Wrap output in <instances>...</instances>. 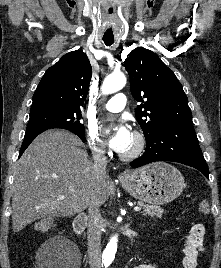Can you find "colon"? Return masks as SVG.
Masks as SVG:
<instances>
[{
  "label": "colon",
  "instance_id": "colon-1",
  "mask_svg": "<svg viewBox=\"0 0 221 268\" xmlns=\"http://www.w3.org/2000/svg\"><path fill=\"white\" fill-rule=\"evenodd\" d=\"M198 208H199V211L203 214H208L210 211L209 203L206 200H201L199 202ZM53 226H54V223L51 218H43L36 223V229L38 231H47L51 229ZM23 268H28V267L25 266Z\"/></svg>",
  "mask_w": 221,
  "mask_h": 268
}]
</instances>
